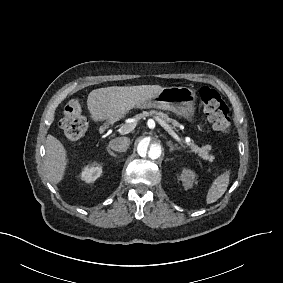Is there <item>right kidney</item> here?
I'll return each mask as SVG.
<instances>
[{"mask_svg": "<svg viewBox=\"0 0 283 283\" xmlns=\"http://www.w3.org/2000/svg\"><path fill=\"white\" fill-rule=\"evenodd\" d=\"M101 169L97 166H93L92 168H86L84 172L81 173V179L86 180L87 182H93L98 177H100Z\"/></svg>", "mask_w": 283, "mask_h": 283, "instance_id": "ca27d5eb", "label": "right kidney"}]
</instances>
